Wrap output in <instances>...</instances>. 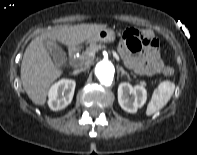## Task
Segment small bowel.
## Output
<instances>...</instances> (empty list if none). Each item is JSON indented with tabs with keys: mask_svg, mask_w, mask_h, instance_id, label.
I'll use <instances>...</instances> for the list:
<instances>
[{
	"mask_svg": "<svg viewBox=\"0 0 197 155\" xmlns=\"http://www.w3.org/2000/svg\"><path fill=\"white\" fill-rule=\"evenodd\" d=\"M119 52L124 64L141 76L159 73L163 69V62L158 53L157 46H149L146 52L139 55H133L128 48L127 41L123 37Z\"/></svg>",
	"mask_w": 197,
	"mask_h": 155,
	"instance_id": "small-bowel-1",
	"label": "small bowel"
}]
</instances>
